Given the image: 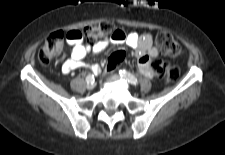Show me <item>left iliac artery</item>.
I'll use <instances>...</instances> for the list:
<instances>
[{
  "mask_svg": "<svg viewBox=\"0 0 225 155\" xmlns=\"http://www.w3.org/2000/svg\"><path fill=\"white\" fill-rule=\"evenodd\" d=\"M119 74H120L121 77H124L131 84L138 85L137 78L133 74H131L130 72H128L124 69H121V70H119Z\"/></svg>",
  "mask_w": 225,
  "mask_h": 155,
  "instance_id": "1",
  "label": "left iliac artery"
}]
</instances>
